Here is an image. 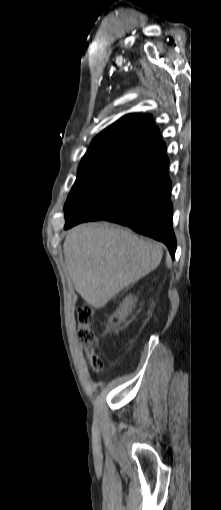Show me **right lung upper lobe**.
I'll return each instance as SVG.
<instances>
[{"label":"right lung upper lobe","instance_id":"obj_1","mask_svg":"<svg viewBox=\"0 0 221 510\" xmlns=\"http://www.w3.org/2000/svg\"><path fill=\"white\" fill-rule=\"evenodd\" d=\"M165 147L150 115L128 114L96 136L83 158L123 150L156 153Z\"/></svg>","mask_w":221,"mask_h":510}]
</instances>
